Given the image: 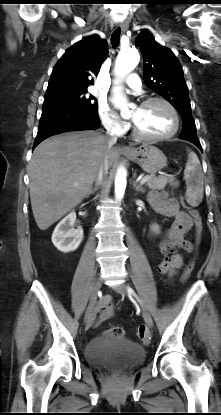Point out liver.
Wrapping results in <instances>:
<instances>
[{"instance_id": "obj_1", "label": "liver", "mask_w": 221, "mask_h": 415, "mask_svg": "<svg viewBox=\"0 0 221 415\" xmlns=\"http://www.w3.org/2000/svg\"><path fill=\"white\" fill-rule=\"evenodd\" d=\"M105 157L111 167L119 152L108 148L98 131L55 135L36 147L29 164L30 199L40 230L48 229L89 196Z\"/></svg>"}]
</instances>
